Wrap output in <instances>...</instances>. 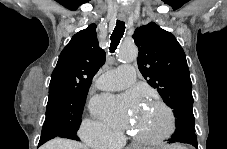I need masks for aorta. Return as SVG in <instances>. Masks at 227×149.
<instances>
[{"instance_id": "762f6f07", "label": "aorta", "mask_w": 227, "mask_h": 149, "mask_svg": "<svg viewBox=\"0 0 227 149\" xmlns=\"http://www.w3.org/2000/svg\"><path fill=\"white\" fill-rule=\"evenodd\" d=\"M138 51L133 46H124L121 48L118 58L124 62H131L137 58Z\"/></svg>"}]
</instances>
